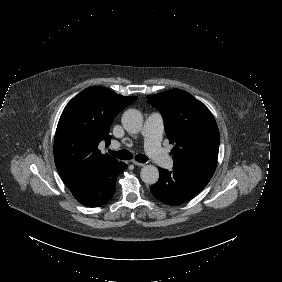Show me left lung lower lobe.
<instances>
[{
    "mask_svg": "<svg viewBox=\"0 0 282 282\" xmlns=\"http://www.w3.org/2000/svg\"><path fill=\"white\" fill-rule=\"evenodd\" d=\"M159 180L151 187V193L168 205H180L195 197L210 181L216 165L190 163L173 166V171L158 168Z\"/></svg>",
    "mask_w": 282,
    "mask_h": 282,
    "instance_id": "obj_1",
    "label": "left lung lower lobe"
}]
</instances>
